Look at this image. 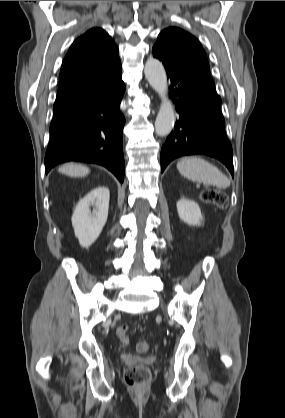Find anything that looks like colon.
<instances>
[{"mask_svg":"<svg viewBox=\"0 0 285 418\" xmlns=\"http://www.w3.org/2000/svg\"><path fill=\"white\" fill-rule=\"evenodd\" d=\"M201 200L204 203L224 208L228 198L223 191L207 189L202 192ZM128 331L129 326L127 323H123L117 328V336L123 344L129 342ZM136 348L138 352L145 353L149 350L150 345L147 341H141L137 344ZM150 378L151 373L149 368L141 364L130 367L124 372V380L131 387L145 386L150 381Z\"/></svg>","mask_w":285,"mask_h":418,"instance_id":"obj_1","label":"colon"}]
</instances>
